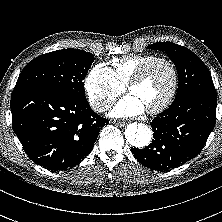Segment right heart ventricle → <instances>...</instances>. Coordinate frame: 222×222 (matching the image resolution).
I'll list each match as a JSON object with an SVG mask.
<instances>
[{"label": "right heart ventricle", "instance_id": "obj_1", "mask_svg": "<svg viewBox=\"0 0 222 222\" xmlns=\"http://www.w3.org/2000/svg\"><path fill=\"white\" fill-rule=\"evenodd\" d=\"M151 54H133L111 60L112 72L119 83L126 85L130 77L145 62L154 58Z\"/></svg>", "mask_w": 222, "mask_h": 222}]
</instances>
